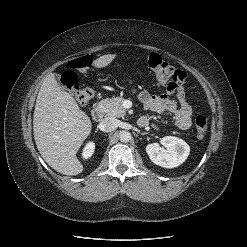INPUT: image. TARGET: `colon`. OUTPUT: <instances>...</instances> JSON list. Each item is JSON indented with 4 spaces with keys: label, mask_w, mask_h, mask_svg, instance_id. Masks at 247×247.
Here are the masks:
<instances>
[{
    "label": "colon",
    "mask_w": 247,
    "mask_h": 247,
    "mask_svg": "<svg viewBox=\"0 0 247 247\" xmlns=\"http://www.w3.org/2000/svg\"><path fill=\"white\" fill-rule=\"evenodd\" d=\"M93 64L91 55H84L75 58L68 63L69 71L65 72L61 77L64 87L76 98L81 104H86L92 100L94 92L89 87H82L78 83L75 71L87 72ZM147 64L156 77V79L166 84L174 86L182 83L185 79L183 72L174 68L166 62L160 55L151 53L147 57ZM195 134L198 139H203L208 131V120L204 115H198L194 124Z\"/></svg>",
    "instance_id": "5ec220e1"
}]
</instances>
